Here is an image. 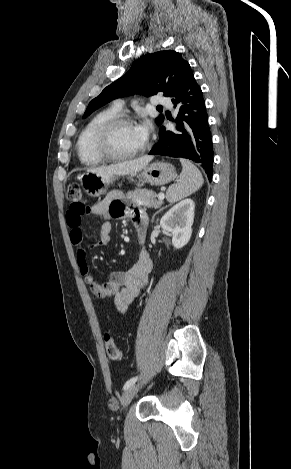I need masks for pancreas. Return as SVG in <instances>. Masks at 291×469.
<instances>
[{
  "label": "pancreas",
  "mask_w": 291,
  "mask_h": 469,
  "mask_svg": "<svg viewBox=\"0 0 291 469\" xmlns=\"http://www.w3.org/2000/svg\"><path fill=\"white\" fill-rule=\"evenodd\" d=\"M156 197V193L148 189H136L126 194V199L134 206L142 205L148 208H159L163 204V201L157 200Z\"/></svg>",
  "instance_id": "pancreas-1"
}]
</instances>
